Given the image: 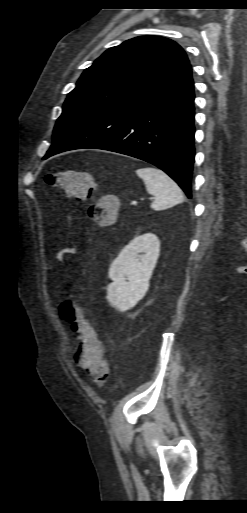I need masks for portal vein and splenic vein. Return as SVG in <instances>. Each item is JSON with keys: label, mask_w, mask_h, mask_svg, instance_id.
Returning <instances> with one entry per match:
<instances>
[{"label": "portal vein and splenic vein", "mask_w": 247, "mask_h": 513, "mask_svg": "<svg viewBox=\"0 0 247 513\" xmlns=\"http://www.w3.org/2000/svg\"><path fill=\"white\" fill-rule=\"evenodd\" d=\"M151 199H153V198H151ZM137 203H138L137 201H132L131 202L132 205H136Z\"/></svg>", "instance_id": "1"}]
</instances>
